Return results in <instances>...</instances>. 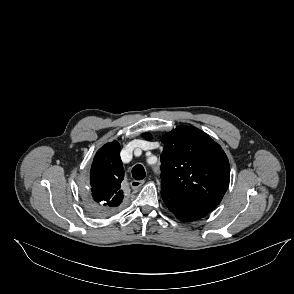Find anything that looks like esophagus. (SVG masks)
<instances>
[{"label":"esophagus","instance_id":"obj_1","mask_svg":"<svg viewBox=\"0 0 294 294\" xmlns=\"http://www.w3.org/2000/svg\"><path fill=\"white\" fill-rule=\"evenodd\" d=\"M144 180H132L130 182V186L132 187L133 190L138 189L139 187H141L144 184Z\"/></svg>","mask_w":294,"mask_h":294}]
</instances>
